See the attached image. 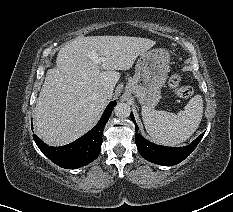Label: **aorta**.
<instances>
[{
	"label": "aorta",
	"mask_w": 233,
	"mask_h": 212,
	"mask_svg": "<svg viewBox=\"0 0 233 212\" xmlns=\"http://www.w3.org/2000/svg\"><path fill=\"white\" fill-rule=\"evenodd\" d=\"M115 115L119 118H126L130 115L131 109L127 103H118L114 109Z\"/></svg>",
	"instance_id": "aorta-1"
}]
</instances>
